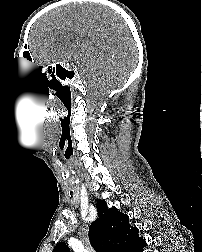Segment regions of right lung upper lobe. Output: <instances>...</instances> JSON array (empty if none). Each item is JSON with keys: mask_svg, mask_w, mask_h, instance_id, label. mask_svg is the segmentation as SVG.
I'll use <instances>...</instances> for the list:
<instances>
[{"mask_svg": "<svg viewBox=\"0 0 202 252\" xmlns=\"http://www.w3.org/2000/svg\"><path fill=\"white\" fill-rule=\"evenodd\" d=\"M98 218L89 227V240L96 252H133L137 244L145 242L138 237V229L129 224V217L116 208L109 209L105 201L96 203ZM53 252H70L60 242Z\"/></svg>", "mask_w": 202, "mask_h": 252, "instance_id": "cb5924a9", "label": "right lung upper lobe"}]
</instances>
